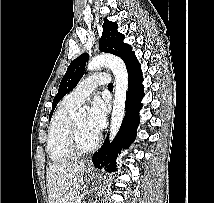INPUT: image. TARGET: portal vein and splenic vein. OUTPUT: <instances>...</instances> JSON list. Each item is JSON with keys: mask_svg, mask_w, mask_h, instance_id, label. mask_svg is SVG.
Listing matches in <instances>:
<instances>
[{"mask_svg": "<svg viewBox=\"0 0 214 203\" xmlns=\"http://www.w3.org/2000/svg\"><path fill=\"white\" fill-rule=\"evenodd\" d=\"M77 203H81V201H80V200H77Z\"/></svg>", "mask_w": 214, "mask_h": 203, "instance_id": "1", "label": "portal vein and splenic vein"}]
</instances>
